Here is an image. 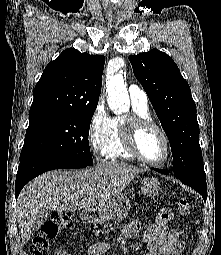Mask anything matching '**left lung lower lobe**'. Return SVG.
<instances>
[{
	"label": "left lung lower lobe",
	"mask_w": 221,
	"mask_h": 255,
	"mask_svg": "<svg viewBox=\"0 0 221 255\" xmlns=\"http://www.w3.org/2000/svg\"><path fill=\"white\" fill-rule=\"evenodd\" d=\"M157 172L162 174H169L168 171L162 169H155ZM182 183L190 186L194 190H196L199 194L202 195L203 199L206 201L207 198V185H206V177L203 178H193V179H179Z\"/></svg>",
	"instance_id": "left-lung-lower-lobe-1"
}]
</instances>
